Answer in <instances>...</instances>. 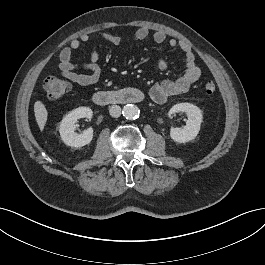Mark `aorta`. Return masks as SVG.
Segmentation results:
<instances>
[{"instance_id":"aorta-1","label":"aorta","mask_w":265,"mask_h":265,"mask_svg":"<svg viewBox=\"0 0 265 265\" xmlns=\"http://www.w3.org/2000/svg\"><path fill=\"white\" fill-rule=\"evenodd\" d=\"M140 110L136 105L127 104L123 108V115L128 120H134L139 117Z\"/></svg>"}]
</instances>
